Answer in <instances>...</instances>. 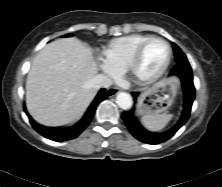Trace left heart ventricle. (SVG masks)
I'll list each match as a JSON object with an SVG mask.
<instances>
[{"label":"left heart ventricle","mask_w":222,"mask_h":187,"mask_svg":"<svg viewBox=\"0 0 222 187\" xmlns=\"http://www.w3.org/2000/svg\"><path fill=\"white\" fill-rule=\"evenodd\" d=\"M168 56L167 46L159 41L151 43L144 52L140 65V73L151 76L158 72L164 65Z\"/></svg>","instance_id":"1"}]
</instances>
